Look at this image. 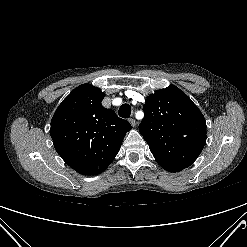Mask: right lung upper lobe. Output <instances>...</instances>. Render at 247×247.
Masks as SVG:
<instances>
[{"label":"right lung upper lobe","mask_w":247,"mask_h":247,"mask_svg":"<svg viewBox=\"0 0 247 247\" xmlns=\"http://www.w3.org/2000/svg\"><path fill=\"white\" fill-rule=\"evenodd\" d=\"M103 98L99 88L80 85L63 100L51 120L50 135L57 153L82 175L103 172L131 129L128 121L102 106Z\"/></svg>","instance_id":"obj_1"}]
</instances>
